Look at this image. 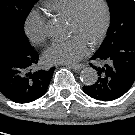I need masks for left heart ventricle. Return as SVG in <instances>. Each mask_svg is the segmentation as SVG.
Returning a JSON list of instances; mask_svg holds the SVG:
<instances>
[{
	"mask_svg": "<svg viewBox=\"0 0 135 135\" xmlns=\"http://www.w3.org/2000/svg\"><path fill=\"white\" fill-rule=\"evenodd\" d=\"M103 20V11L97 0H90L82 10L79 24L69 21L70 34H76L85 39L88 43L99 31Z\"/></svg>",
	"mask_w": 135,
	"mask_h": 135,
	"instance_id": "b2bd125f",
	"label": "left heart ventricle"
}]
</instances>
